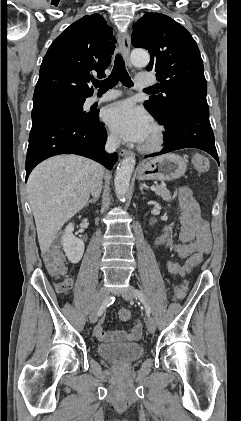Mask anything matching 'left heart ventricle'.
Instances as JSON below:
<instances>
[{
    "mask_svg": "<svg viewBox=\"0 0 241 421\" xmlns=\"http://www.w3.org/2000/svg\"><path fill=\"white\" fill-rule=\"evenodd\" d=\"M150 136H151V130H150V132H149V134H148V136H147L146 140H148V139L150 138ZM146 140H145V141H146Z\"/></svg>",
    "mask_w": 241,
    "mask_h": 421,
    "instance_id": "left-heart-ventricle-1",
    "label": "left heart ventricle"
}]
</instances>
